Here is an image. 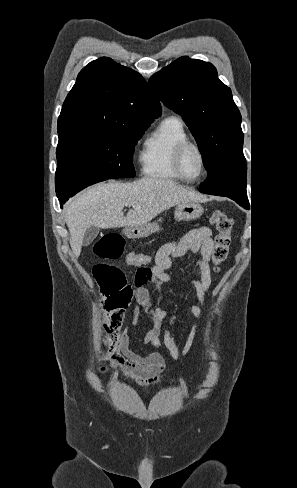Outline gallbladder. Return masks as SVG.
<instances>
[{"instance_id": "obj_1", "label": "gallbladder", "mask_w": 297, "mask_h": 488, "mask_svg": "<svg viewBox=\"0 0 297 488\" xmlns=\"http://www.w3.org/2000/svg\"><path fill=\"white\" fill-rule=\"evenodd\" d=\"M99 231V228L96 226L89 227L84 234L83 245L88 246L91 242H93V240H95V238L97 237Z\"/></svg>"}]
</instances>
